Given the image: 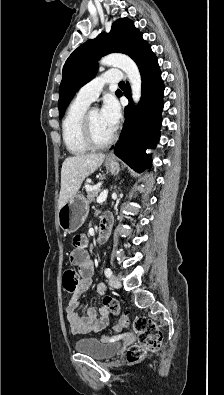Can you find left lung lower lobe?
<instances>
[{"instance_id": "0a47b994", "label": "left lung lower lobe", "mask_w": 224, "mask_h": 395, "mask_svg": "<svg viewBox=\"0 0 224 395\" xmlns=\"http://www.w3.org/2000/svg\"><path fill=\"white\" fill-rule=\"evenodd\" d=\"M134 61L142 77V97L139 105L135 107L127 83L124 95L130 103L124 111L125 124L121 132L122 136L113 149L115 155L131 168L142 172L151 164L150 156L145 150L154 148L160 138L164 84L158 60L150 46L144 47ZM121 95L122 93L117 94L118 97Z\"/></svg>"}]
</instances>
